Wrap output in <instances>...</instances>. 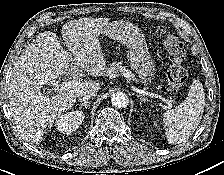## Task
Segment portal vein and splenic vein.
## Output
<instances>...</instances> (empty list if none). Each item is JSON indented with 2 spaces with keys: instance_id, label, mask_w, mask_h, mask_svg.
<instances>
[{
  "instance_id": "18ae733b",
  "label": "portal vein and splenic vein",
  "mask_w": 224,
  "mask_h": 175,
  "mask_svg": "<svg viewBox=\"0 0 224 175\" xmlns=\"http://www.w3.org/2000/svg\"><path fill=\"white\" fill-rule=\"evenodd\" d=\"M79 83H80L79 78H74V79L71 80V81L61 83V84H60V88H61V89H65L66 87H70V86H73V85H78ZM153 95H154L155 97L159 98V99H160L161 101H163L164 103H166V104H167V107H168L169 109L172 108V101H170V100H168V99H166V98H164V97H161V96H159V95H156V94H153Z\"/></svg>"
}]
</instances>
